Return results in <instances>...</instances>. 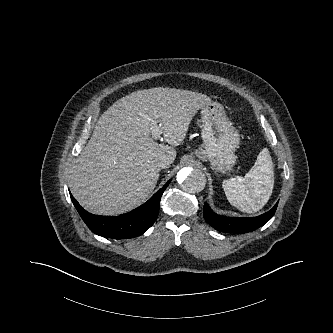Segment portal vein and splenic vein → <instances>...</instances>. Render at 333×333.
I'll return each instance as SVG.
<instances>
[{"label":"portal vein and splenic vein","mask_w":333,"mask_h":333,"mask_svg":"<svg viewBox=\"0 0 333 333\" xmlns=\"http://www.w3.org/2000/svg\"><path fill=\"white\" fill-rule=\"evenodd\" d=\"M151 131H152V138H153V139L157 140L158 138H160V135H161L162 131H161L159 125L154 124V125L151 127Z\"/></svg>","instance_id":"18ae733b"}]
</instances>
